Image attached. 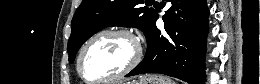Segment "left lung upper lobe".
Returning a JSON list of instances; mask_svg holds the SVG:
<instances>
[{
    "label": "left lung upper lobe",
    "mask_w": 260,
    "mask_h": 84,
    "mask_svg": "<svg viewBox=\"0 0 260 84\" xmlns=\"http://www.w3.org/2000/svg\"><path fill=\"white\" fill-rule=\"evenodd\" d=\"M142 0H82L72 19L68 42L69 62L93 34L108 26L137 27L147 37L156 11L139 7Z\"/></svg>",
    "instance_id": "obj_1"
}]
</instances>
